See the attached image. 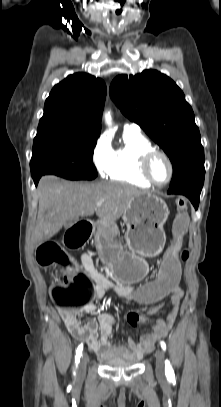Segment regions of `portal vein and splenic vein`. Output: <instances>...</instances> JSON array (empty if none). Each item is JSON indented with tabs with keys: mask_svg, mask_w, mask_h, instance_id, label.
I'll use <instances>...</instances> for the list:
<instances>
[{
	"mask_svg": "<svg viewBox=\"0 0 221 407\" xmlns=\"http://www.w3.org/2000/svg\"><path fill=\"white\" fill-rule=\"evenodd\" d=\"M104 200H100L99 202H97V206H101L103 204Z\"/></svg>",
	"mask_w": 221,
	"mask_h": 407,
	"instance_id": "obj_1",
	"label": "portal vein and splenic vein"
}]
</instances>
